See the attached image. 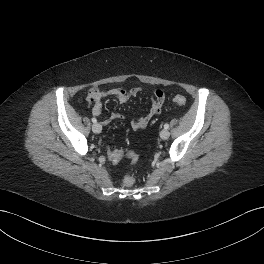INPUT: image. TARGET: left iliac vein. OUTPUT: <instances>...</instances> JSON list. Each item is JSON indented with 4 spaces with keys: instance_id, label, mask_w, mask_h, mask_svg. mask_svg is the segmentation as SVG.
I'll list each match as a JSON object with an SVG mask.
<instances>
[{
    "instance_id": "obj_1",
    "label": "left iliac vein",
    "mask_w": 264,
    "mask_h": 264,
    "mask_svg": "<svg viewBox=\"0 0 264 264\" xmlns=\"http://www.w3.org/2000/svg\"><path fill=\"white\" fill-rule=\"evenodd\" d=\"M169 136H170V132H169L167 129H163V130L160 132V137H161L163 140L168 139Z\"/></svg>"
}]
</instances>
